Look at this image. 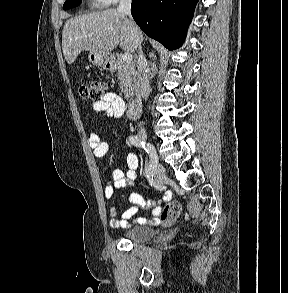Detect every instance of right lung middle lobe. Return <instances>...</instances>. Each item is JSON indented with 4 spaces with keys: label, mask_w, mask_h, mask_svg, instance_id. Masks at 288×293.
<instances>
[{
    "label": "right lung middle lobe",
    "mask_w": 288,
    "mask_h": 293,
    "mask_svg": "<svg viewBox=\"0 0 288 293\" xmlns=\"http://www.w3.org/2000/svg\"><path fill=\"white\" fill-rule=\"evenodd\" d=\"M80 3H81V0H66L63 5V9L66 10V9L76 7Z\"/></svg>",
    "instance_id": "right-lung-middle-lobe-1"
}]
</instances>
